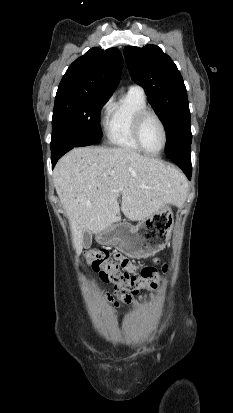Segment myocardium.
Wrapping results in <instances>:
<instances>
[{"instance_id":"1","label":"myocardium","mask_w":233,"mask_h":413,"mask_svg":"<svg viewBox=\"0 0 233 413\" xmlns=\"http://www.w3.org/2000/svg\"><path fill=\"white\" fill-rule=\"evenodd\" d=\"M148 116L154 117L157 120V122L159 123V125L161 127V130H162L163 142H162L161 147L157 151L148 150L142 142L141 129H142V126H143V123H144L145 119ZM132 132H133L134 140H135L136 144L138 145V147L143 152H145L149 155H158V154H160L165 149V147L167 145L168 137H167L166 126H165L162 118L158 115V113L155 112L154 110L150 109V108L142 109L141 111H139L136 114L134 122H133Z\"/></svg>"}]
</instances>
